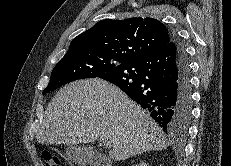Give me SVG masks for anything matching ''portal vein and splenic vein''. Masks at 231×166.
Returning <instances> with one entry per match:
<instances>
[{"label": "portal vein and splenic vein", "instance_id": "18ae733b", "mask_svg": "<svg viewBox=\"0 0 231 166\" xmlns=\"http://www.w3.org/2000/svg\"><path fill=\"white\" fill-rule=\"evenodd\" d=\"M103 144L105 147H110L111 146V142L109 139H106V138H101Z\"/></svg>", "mask_w": 231, "mask_h": 166}]
</instances>
